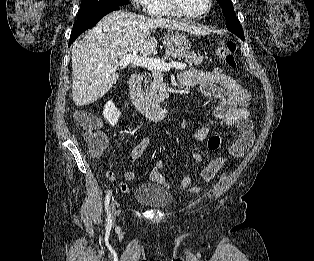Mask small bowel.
Masks as SVG:
<instances>
[{"label":"small bowel","mask_w":314,"mask_h":261,"mask_svg":"<svg viewBox=\"0 0 314 261\" xmlns=\"http://www.w3.org/2000/svg\"><path fill=\"white\" fill-rule=\"evenodd\" d=\"M179 82L183 87L195 88L197 94L204 99H214L218 105L213 110L214 119L212 122L194 129L189 134L191 142L199 143L204 141L212 131L215 125L235 126L240 132L236 143L230 148V153L234 156L244 155L251 147L254 140L253 123L250 118L248 104L250 94L237 79L230 73L223 71L218 67L207 70H189L179 75ZM151 142L149 135H144L141 141L134 147L127 158V165L132 164L144 153ZM195 161H202L201 154H194ZM226 162L225 157H217L204 165L201 169V177L205 182H211ZM165 162L158 159L150 171V178L153 182L158 183L164 189L170 190L171 184L161 172ZM110 180H115V173L109 169L106 173ZM124 178L127 182L135 179V174L128 169ZM119 189L123 193H129L130 189L126 182H119ZM183 190H190L197 193L199 190L192 186L190 177L184 176L181 181Z\"/></svg>","instance_id":"c3829d8e"}]
</instances>
